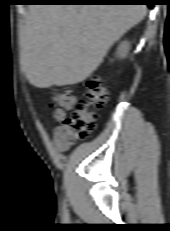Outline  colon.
I'll use <instances>...</instances> for the list:
<instances>
[{
  "label": "colon",
  "instance_id": "obj_1",
  "mask_svg": "<svg viewBox=\"0 0 170 231\" xmlns=\"http://www.w3.org/2000/svg\"><path fill=\"white\" fill-rule=\"evenodd\" d=\"M109 99V92L103 80L92 76L87 82L86 90L75 111L66 117L65 110L75 105V97L69 88L57 93L53 98L54 117L62 123L65 140L73 144L87 139L96 127L97 112Z\"/></svg>",
  "mask_w": 170,
  "mask_h": 231
}]
</instances>
